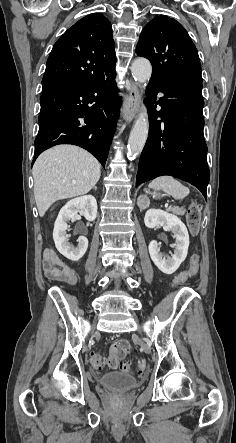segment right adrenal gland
I'll return each mask as SVG.
<instances>
[{"mask_svg":"<svg viewBox=\"0 0 236 443\" xmlns=\"http://www.w3.org/2000/svg\"><path fill=\"white\" fill-rule=\"evenodd\" d=\"M94 190H95V191L97 190V187H96V186L94 187Z\"/></svg>","mask_w":236,"mask_h":443,"instance_id":"obj_1","label":"right adrenal gland"}]
</instances>
